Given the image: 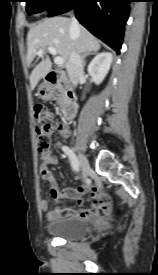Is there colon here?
Here are the masks:
<instances>
[{
	"mask_svg": "<svg viewBox=\"0 0 158 275\" xmlns=\"http://www.w3.org/2000/svg\"><path fill=\"white\" fill-rule=\"evenodd\" d=\"M34 119L38 149L41 152L48 151L52 141V135L60 124L53 114L42 105L35 106Z\"/></svg>",
	"mask_w": 158,
	"mask_h": 275,
	"instance_id": "1",
	"label": "colon"
}]
</instances>
